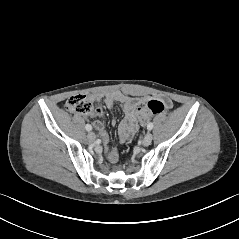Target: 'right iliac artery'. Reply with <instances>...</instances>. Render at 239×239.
<instances>
[{
  "mask_svg": "<svg viewBox=\"0 0 239 239\" xmlns=\"http://www.w3.org/2000/svg\"><path fill=\"white\" fill-rule=\"evenodd\" d=\"M85 128H86V130H88V131H91V130H92V126H91L90 124H87V125L85 126Z\"/></svg>",
  "mask_w": 239,
  "mask_h": 239,
  "instance_id": "obj_1",
  "label": "right iliac artery"
}]
</instances>
